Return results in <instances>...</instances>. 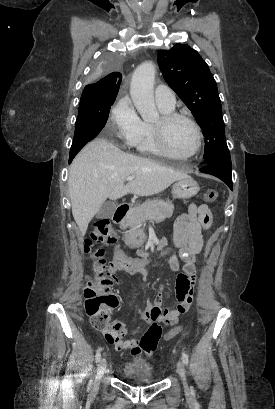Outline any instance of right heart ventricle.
<instances>
[{"mask_svg": "<svg viewBox=\"0 0 275 409\" xmlns=\"http://www.w3.org/2000/svg\"><path fill=\"white\" fill-rule=\"evenodd\" d=\"M159 109L163 115L172 114L174 112V109L167 110L160 107ZM154 124L155 123L148 121L141 122L140 131L134 146L139 154L148 156H166L157 144Z\"/></svg>", "mask_w": 275, "mask_h": 409, "instance_id": "right-heart-ventricle-1", "label": "right heart ventricle"}]
</instances>
